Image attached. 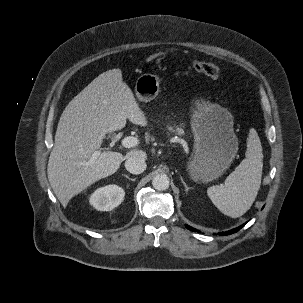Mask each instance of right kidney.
I'll return each mask as SVG.
<instances>
[{
	"instance_id": "1",
	"label": "right kidney",
	"mask_w": 303,
	"mask_h": 303,
	"mask_svg": "<svg viewBox=\"0 0 303 303\" xmlns=\"http://www.w3.org/2000/svg\"><path fill=\"white\" fill-rule=\"evenodd\" d=\"M124 190L117 185H107L96 189L89 198V203L99 211H111L124 199Z\"/></svg>"
}]
</instances>
